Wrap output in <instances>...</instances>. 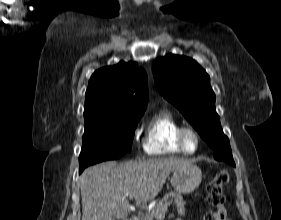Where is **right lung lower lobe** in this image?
Listing matches in <instances>:
<instances>
[{
  "label": "right lung lower lobe",
  "mask_w": 281,
  "mask_h": 220,
  "mask_svg": "<svg viewBox=\"0 0 281 220\" xmlns=\"http://www.w3.org/2000/svg\"><path fill=\"white\" fill-rule=\"evenodd\" d=\"M83 170L82 169H79V173H81Z\"/></svg>",
  "instance_id": "1"
}]
</instances>
